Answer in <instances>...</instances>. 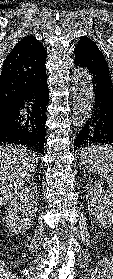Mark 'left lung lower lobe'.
<instances>
[{
    "instance_id": "obj_1",
    "label": "left lung lower lobe",
    "mask_w": 113,
    "mask_h": 279,
    "mask_svg": "<svg viewBox=\"0 0 113 279\" xmlns=\"http://www.w3.org/2000/svg\"><path fill=\"white\" fill-rule=\"evenodd\" d=\"M74 64L88 69L95 91L91 116L75 139V149L92 143L113 145V82L110 73L79 56H75Z\"/></svg>"
}]
</instances>
